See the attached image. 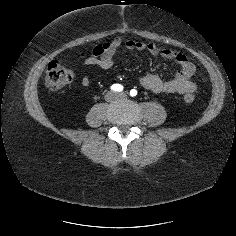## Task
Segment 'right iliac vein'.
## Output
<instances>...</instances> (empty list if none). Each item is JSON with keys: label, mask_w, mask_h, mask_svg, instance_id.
Listing matches in <instances>:
<instances>
[{"label": "right iliac vein", "mask_w": 236, "mask_h": 236, "mask_svg": "<svg viewBox=\"0 0 236 236\" xmlns=\"http://www.w3.org/2000/svg\"><path fill=\"white\" fill-rule=\"evenodd\" d=\"M117 94L114 93V92H108L105 96V99L108 101V102H112V101H115L117 99Z\"/></svg>", "instance_id": "1"}]
</instances>
